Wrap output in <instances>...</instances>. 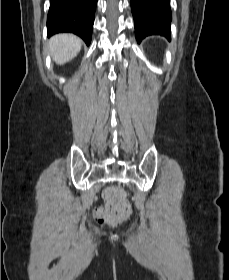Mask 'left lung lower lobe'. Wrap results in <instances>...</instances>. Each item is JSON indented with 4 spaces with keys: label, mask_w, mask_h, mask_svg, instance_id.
I'll return each instance as SVG.
<instances>
[{
    "label": "left lung lower lobe",
    "mask_w": 229,
    "mask_h": 280,
    "mask_svg": "<svg viewBox=\"0 0 229 280\" xmlns=\"http://www.w3.org/2000/svg\"><path fill=\"white\" fill-rule=\"evenodd\" d=\"M136 39L161 35L170 40L172 19L169 0H131Z\"/></svg>",
    "instance_id": "1"
}]
</instances>
